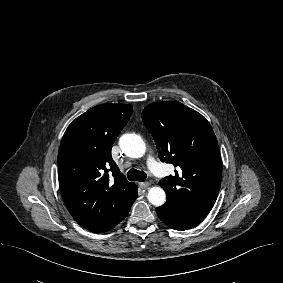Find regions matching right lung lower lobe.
Returning <instances> with one entry per match:
<instances>
[{
    "label": "right lung lower lobe",
    "instance_id": "1",
    "mask_svg": "<svg viewBox=\"0 0 283 283\" xmlns=\"http://www.w3.org/2000/svg\"><path fill=\"white\" fill-rule=\"evenodd\" d=\"M127 214H128V213H127ZM127 214H126V215H127ZM126 215L122 218V220L126 217ZM122 220H121V221H122ZM121 221H120V222H121Z\"/></svg>",
    "mask_w": 283,
    "mask_h": 283
}]
</instances>
